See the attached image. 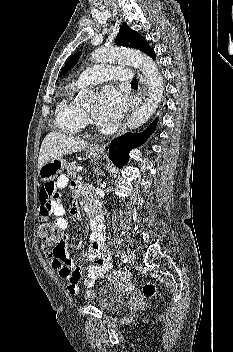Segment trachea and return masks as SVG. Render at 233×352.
<instances>
[{
  "instance_id": "obj_1",
  "label": "trachea",
  "mask_w": 233,
  "mask_h": 352,
  "mask_svg": "<svg viewBox=\"0 0 233 352\" xmlns=\"http://www.w3.org/2000/svg\"><path fill=\"white\" fill-rule=\"evenodd\" d=\"M131 84L132 85H138V81L136 79H134V80L131 81Z\"/></svg>"
}]
</instances>
